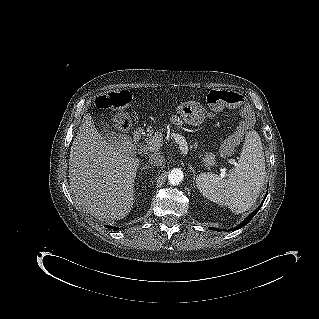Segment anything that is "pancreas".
I'll return each instance as SVG.
<instances>
[{
	"mask_svg": "<svg viewBox=\"0 0 319 319\" xmlns=\"http://www.w3.org/2000/svg\"><path fill=\"white\" fill-rule=\"evenodd\" d=\"M156 135H159L160 138L162 137L161 132H154V130L151 127L147 129V138L145 139V143L148 149L150 147V142L155 138ZM161 145H162V141L158 143L156 148H159ZM190 147L196 148L197 144L191 145ZM197 156L199 157L201 162L204 164V166L207 168H210L216 165L215 154L212 152H203L201 154H198Z\"/></svg>",
	"mask_w": 319,
	"mask_h": 319,
	"instance_id": "cf45deb5",
	"label": "pancreas"
}]
</instances>
